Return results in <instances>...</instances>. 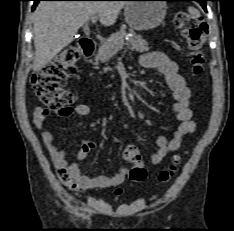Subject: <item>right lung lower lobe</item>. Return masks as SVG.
<instances>
[{
    "label": "right lung lower lobe",
    "mask_w": 234,
    "mask_h": 231,
    "mask_svg": "<svg viewBox=\"0 0 234 231\" xmlns=\"http://www.w3.org/2000/svg\"><path fill=\"white\" fill-rule=\"evenodd\" d=\"M33 1H34V5L32 7V11L36 8L39 1H72V0H33ZM94 1H103V0H94Z\"/></svg>",
    "instance_id": "right-lung-lower-lobe-1"
}]
</instances>
